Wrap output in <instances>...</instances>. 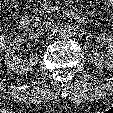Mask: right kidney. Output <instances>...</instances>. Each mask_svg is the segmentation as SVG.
<instances>
[{"label": "right kidney", "mask_w": 113, "mask_h": 113, "mask_svg": "<svg viewBox=\"0 0 113 113\" xmlns=\"http://www.w3.org/2000/svg\"><path fill=\"white\" fill-rule=\"evenodd\" d=\"M25 40L21 36L14 37L9 46L7 47L5 54V64L8 69L24 73L31 71L38 62L37 54L31 53L27 60H22L21 53H19V46H21Z\"/></svg>", "instance_id": "obj_1"}]
</instances>
